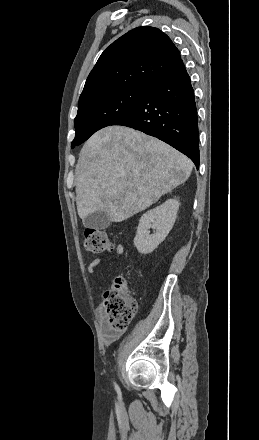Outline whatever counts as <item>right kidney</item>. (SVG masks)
I'll list each match as a JSON object with an SVG mask.
<instances>
[{
  "instance_id": "right-kidney-1",
  "label": "right kidney",
  "mask_w": 259,
  "mask_h": 440,
  "mask_svg": "<svg viewBox=\"0 0 259 440\" xmlns=\"http://www.w3.org/2000/svg\"><path fill=\"white\" fill-rule=\"evenodd\" d=\"M179 205L177 199H168L141 216L134 238L139 253L149 254L164 241L175 223ZM150 228L155 230L154 234H150Z\"/></svg>"
}]
</instances>
